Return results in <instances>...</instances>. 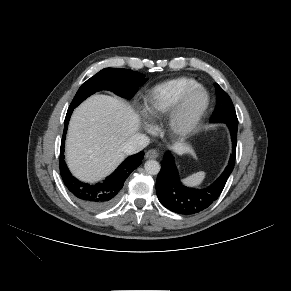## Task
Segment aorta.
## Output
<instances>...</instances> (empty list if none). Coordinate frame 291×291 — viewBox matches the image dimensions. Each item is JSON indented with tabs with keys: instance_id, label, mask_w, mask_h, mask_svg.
<instances>
[{
	"instance_id": "aorta-1",
	"label": "aorta",
	"mask_w": 291,
	"mask_h": 291,
	"mask_svg": "<svg viewBox=\"0 0 291 291\" xmlns=\"http://www.w3.org/2000/svg\"><path fill=\"white\" fill-rule=\"evenodd\" d=\"M146 173L150 175H156L160 171V165L156 160H148L144 164Z\"/></svg>"
}]
</instances>
